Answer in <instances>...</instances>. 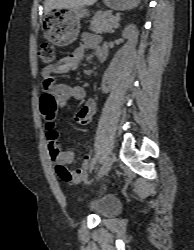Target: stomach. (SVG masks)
Segmentation results:
<instances>
[{
  "label": "stomach",
  "instance_id": "stomach-1",
  "mask_svg": "<svg viewBox=\"0 0 194 250\" xmlns=\"http://www.w3.org/2000/svg\"><path fill=\"white\" fill-rule=\"evenodd\" d=\"M107 7L113 10L131 9L138 5L139 0H104ZM89 16L86 8L79 10L54 8L45 17L43 33L49 42L65 47L73 43L80 32L81 18Z\"/></svg>",
  "mask_w": 194,
  "mask_h": 250
}]
</instances>
